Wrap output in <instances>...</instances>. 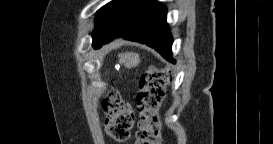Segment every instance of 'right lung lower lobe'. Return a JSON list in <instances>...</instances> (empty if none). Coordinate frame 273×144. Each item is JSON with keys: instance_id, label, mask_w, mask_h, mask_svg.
<instances>
[{"instance_id": "right-lung-lower-lobe-1", "label": "right lung lower lobe", "mask_w": 273, "mask_h": 144, "mask_svg": "<svg viewBox=\"0 0 273 144\" xmlns=\"http://www.w3.org/2000/svg\"><path fill=\"white\" fill-rule=\"evenodd\" d=\"M166 12V7L156 0H119L93 31V47L97 49L116 37H123L154 48L174 63Z\"/></svg>"}]
</instances>
